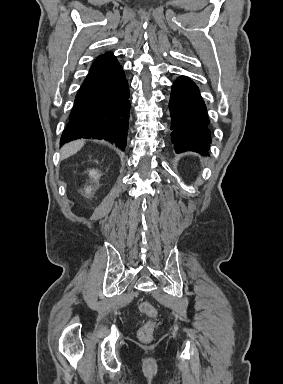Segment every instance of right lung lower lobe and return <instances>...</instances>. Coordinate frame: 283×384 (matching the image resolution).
I'll list each match as a JSON object with an SVG mask.
<instances>
[{"instance_id": "98d812e1", "label": "right lung lower lobe", "mask_w": 283, "mask_h": 384, "mask_svg": "<svg viewBox=\"0 0 283 384\" xmlns=\"http://www.w3.org/2000/svg\"><path fill=\"white\" fill-rule=\"evenodd\" d=\"M129 111V87L122 67L117 63L90 71L76 95L60 145L92 138L125 150Z\"/></svg>"}]
</instances>
